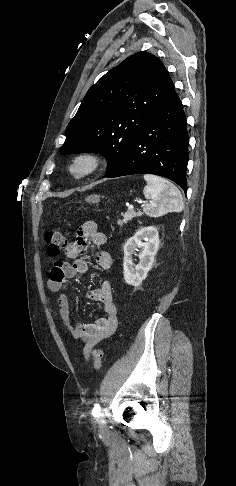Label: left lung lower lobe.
Wrapping results in <instances>:
<instances>
[{
  "label": "left lung lower lobe",
  "mask_w": 236,
  "mask_h": 486,
  "mask_svg": "<svg viewBox=\"0 0 236 486\" xmlns=\"http://www.w3.org/2000/svg\"><path fill=\"white\" fill-rule=\"evenodd\" d=\"M188 144L187 119L181 100L174 91L106 177L154 174L174 181L186 192Z\"/></svg>",
  "instance_id": "left-lung-lower-lobe-1"
}]
</instances>
